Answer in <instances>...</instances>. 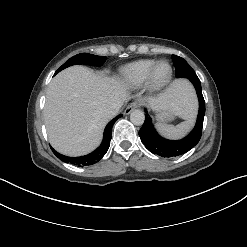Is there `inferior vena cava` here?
I'll return each mask as SVG.
<instances>
[{
	"instance_id": "602c4592",
	"label": "inferior vena cava",
	"mask_w": 247,
	"mask_h": 247,
	"mask_svg": "<svg viewBox=\"0 0 247 247\" xmlns=\"http://www.w3.org/2000/svg\"><path fill=\"white\" fill-rule=\"evenodd\" d=\"M122 105H123L122 102H118L113 105H110L109 107L105 109L104 115L108 118H112L120 111Z\"/></svg>"
}]
</instances>
